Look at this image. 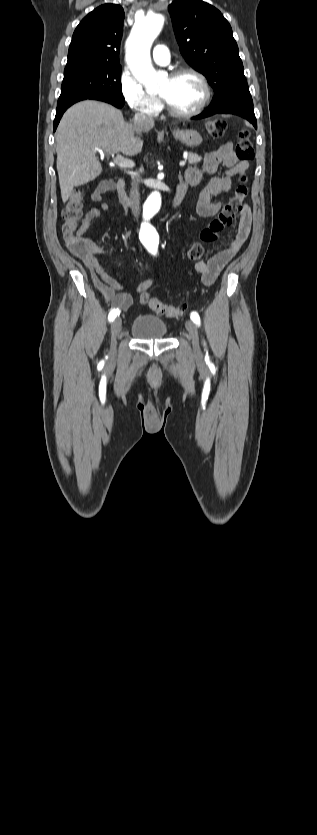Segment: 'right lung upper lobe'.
<instances>
[{
	"label": "right lung upper lobe",
	"mask_w": 317,
	"mask_h": 835,
	"mask_svg": "<svg viewBox=\"0 0 317 835\" xmlns=\"http://www.w3.org/2000/svg\"><path fill=\"white\" fill-rule=\"evenodd\" d=\"M124 11L116 4H104L90 12L77 26L69 46V64L119 65V47Z\"/></svg>",
	"instance_id": "1"
}]
</instances>
